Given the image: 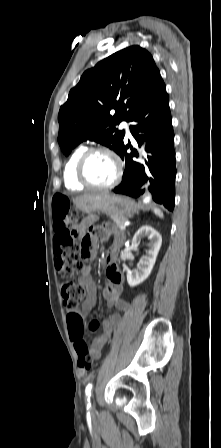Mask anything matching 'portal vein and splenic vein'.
<instances>
[{"label":"portal vein and splenic vein","mask_w":221,"mask_h":448,"mask_svg":"<svg viewBox=\"0 0 221 448\" xmlns=\"http://www.w3.org/2000/svg\"><path fill=\"white\" fill-rule=\"evenodd\" d=\"M128 224H129L128 222L123 223V225L121 226V229H125Z\"/></svg>","instance_id":"18ae733b"}]
</instances>
